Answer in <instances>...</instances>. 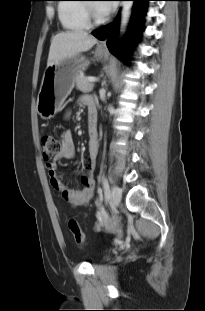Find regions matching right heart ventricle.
I'll return each mask as SVG.
<instances>
[{
    "label": "right heart ventricle",
    "mask_w": 205,
    "mask_h": 311,
    "mask_svg": "<svg viewBox=\"0 0 205 311\" xmlns=\"http://www.w3.org/2000/svg\"><path fill=\"white\" fill-rule=\"evenodd\" d=\"M66 2H78L82 0H63ZM59 20L64 29L69 31H81L89 27L85 4L61 3L58 5Z\"/></svg>",
    "instance_id": "right-heart-ventricle-1"
}]
</instances>
